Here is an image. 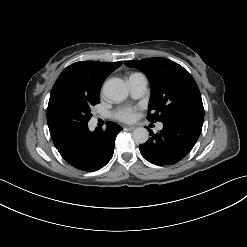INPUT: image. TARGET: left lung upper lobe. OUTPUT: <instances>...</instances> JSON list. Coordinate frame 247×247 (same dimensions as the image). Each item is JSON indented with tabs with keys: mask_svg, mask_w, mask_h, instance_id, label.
Wrapping results in <instances>:
<instances>
[{
	"mask_svg": "<svg viewBox=\"0 0 247 247\" xmlns=\"http://www.w3.org/2000/svg\"><path fill=\"white\" fill-rule=\"evenodd\" d=\"M125 64L145 73L150 81L149 121L182 118L203 122L204 108L199 88L181 65L159 57L127 61Z\"/></svg>",
	"mask_w": 247,
	"mask_h": 247,
	"instance_id": "left-lung-upper-lobe-1",
	"label": "left lung upper lobe"
}]
</instances>
